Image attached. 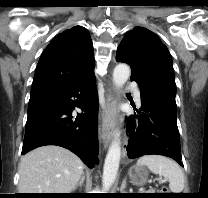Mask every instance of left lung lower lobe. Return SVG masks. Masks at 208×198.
<instances>
[{"label":"left lung lower lobe","mask_w":208,"mask_h":198,"mask_svg":"<svg viewBox=\"0 0 208 198\" xmlns=\"http://www.w3.org/2000/svg\"><path fill=\"white\" fill-rule=\"evenodd\" d=\"M116 60L124 62L116 55ZM131 80H134L131 77ZM141 107L137 114L127 118L130 134L127 146L128 157L158 154L174 159L180 165L181 149L176 122V109L157 95L140 87Z\"/></svg>","instance_id":"obj_1"}]
</instances>
